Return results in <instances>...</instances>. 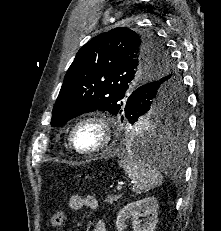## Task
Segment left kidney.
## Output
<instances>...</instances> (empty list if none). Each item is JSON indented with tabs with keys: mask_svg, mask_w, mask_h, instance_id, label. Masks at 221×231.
<instances>
[{
	"mask_svg": "<svg viewBox=\"0 0 221 231\" xmlns=\"http://www.w3.org/2000/svg\"><path fill=\"white\" fill-rule=\"evenodd\" d=\"M158 202L155 197H147L124 206L117 215L116 227L122 231L126 221L131 218L133 231H154L158 223ZM144 217L141 224L139 217Z\"/></svg>",
	"mask_w": 221,
	"mask_h": 231,
	"instance_id": "1",
	"label": "left kidney"
}]
</instances>
